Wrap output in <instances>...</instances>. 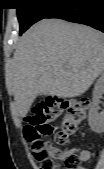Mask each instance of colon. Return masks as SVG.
Instances as JSON below:
<instances>
[{
  "mask_svg": "<svg viewBox=\"0 0 104 169\" xmlns=\"http://www.w3.org/2000/svg\"><path fill=\"white\" fill-rule=\"evenodd\" d=\"M90 101L84 97L64 100L58 105H38L32 110L24 126V137L31 145L40 169H59L57 158L61 157L57 145L64 144L76 133L85 121ZM64 117L62 127L55 132V144L45 142L42 136L54 133V122ZM64 169H80L81 157L77 153H66L62 157Z\"/></svg>",
  "mask_w": 104,
  "mask_h": 169,
  "instance_id": "obj_1",
  "label": "colon"
}]
</instances>
